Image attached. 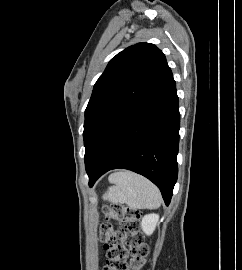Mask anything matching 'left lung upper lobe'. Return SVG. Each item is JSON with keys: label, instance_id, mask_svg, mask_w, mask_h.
I'll return each mask as SVG.
<instances>
[{"label": "left lung upper lobe", "instance_id": "left-lung-upper-lobe-1", "mask_svg": "<svg viewBox=\"0 0 242 270\" xmlns=\"http://www.w3.org/2000/svg\"><path fill=\"white\" fill-rule=\"evenodd\" d=\"M170 70L165 55L150 43L130 46L110 60L95 83L85 110L86 170L115 125L141 103Z\"/></svg>", "mask_w": 242, "mask_h": 270}]
</instances>
